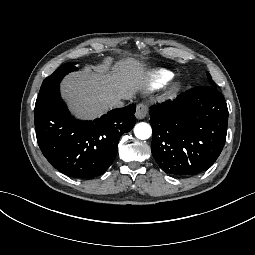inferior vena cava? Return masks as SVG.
<instances>
[{
  "instance_id": "obj_1",
  "label": "inferior vena cava",
  "mask_w": 255,
  "mask_h": 255,
  "mask_svg": "<svg viewBox=\"0 0 255 255\" xmlns=\"http://www.w3.org/2000/svg\"><path fill=\"white\" fill-rule=\"evenodd\" d=\"M110 107L112 108H118V107H123L124 103L120 99H113L110 101Z\"/></svg>"
}]
</instances>
